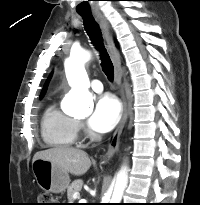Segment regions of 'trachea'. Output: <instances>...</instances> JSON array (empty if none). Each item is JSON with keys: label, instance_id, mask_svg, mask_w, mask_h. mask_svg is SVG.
<instances>
[{"label": "trachea", "instance_id": "3493384b", "mask_svg": "<svg viewBox=\"0 0 200 205\" xmlns=\"http://www.w3.org/2000/svg\"><path fill=\"white\" fill-rule=\"evenodd\" d=\"M80 15L83 18L86 33L90 37L92 44L100 52L102 70L107 78L112 81L114 78V67L108 53L104 49L101 29L91 13H80Z\"/></svg>", "mask_w": 200, "mask_h": 205}]
</instances>
